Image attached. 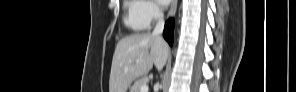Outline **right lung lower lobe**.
I'll list each match as a JSON object with an SVG mask.
<instances>
[{"instance_id":"98d812e1","label":"right lung lower lobe","mask_w":296,"mask_h":92,"mask_svg":"<svg viewBox=\"0 0 296 92\" xmlns=\"http://www.w3.org/2000/svg\"><path fill=\"white\" fill-rule=\"evenodd\" d=\"M173 28H174V22L173 19H170L165 24V29L163 32L164 38L168 41L170 45L173 43Z\"/></svg>"}]
</instances>
